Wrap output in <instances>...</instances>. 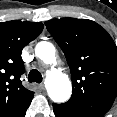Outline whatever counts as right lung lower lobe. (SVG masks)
Returning <instances> with one entry per match:
<instances>
[{"label": "right lung lower lobe", "instance_id": "98d812e1", "mask_svg": "<svg viewBox=\"0 0 117 117\" xmlns=\"http://www.w3.org/2000/svg\"><path fill=\"white\" fill-rule=\"evenodd\" d=\"M26 113V112H25ZM25 113L21 116V117H24L25 116Z\"/></svg>", "mask_w": 117, "mask_h": 117}]
</instances>
